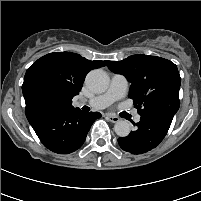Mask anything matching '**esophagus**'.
<instances>
[{
    "instance_id": "1",
    "label": "esophagus",
    "mask_w": 201,
    "mask_h": 201,
    "mask_svg": "<svg viewBox=\"0 0 201 201\" xmlns=\"http://www.w3.org/2000/svg\"><path fill=\"white\" fill-rule=\"evenodd\" d=\"M106 118L112 123H117L120 120V118L118 116H115L112 114H107Z\"/></svg>"
}]
</instances>
